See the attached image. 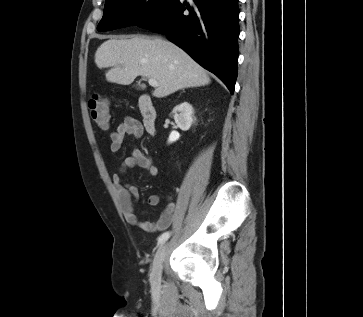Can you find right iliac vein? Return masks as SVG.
Listing matches in <instances>:
<instances>
[{
  "label": "right iliac vein",
  "instance_id": "63e3f726",
  "mask_svg": "<svg viewBox=\"0 0 363 317\" xmlns=\"http://www.w3.org/2000/svg\"><path fill=\"white\" fill-rule=\"evenodd\" d=\"M167 252V244L163 243L154 258L152 272L150 276L151 287L153 290H157L161 282L162 265Z\"/></svg>",
  "mask_w": 363,
  "mask_h": 317
}]
</instances>
